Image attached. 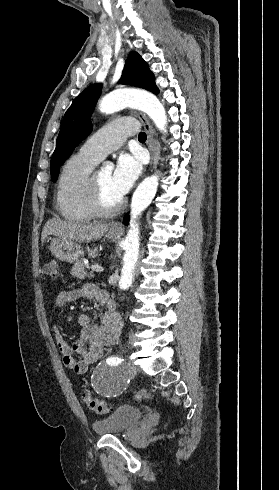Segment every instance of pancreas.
I'll return each mask as SVG.
<instances>
[{"label":"pancreas","mask_w":279,"mask_h":490,"mask_svg":"<svg viewBox=\"0 0 279 490\" xmlns=\"http://www.w3.org/2000/svg\"><path fill=\"white\" fill-rule=\"evenodd\" d=\"M71 276H73V278H78V280H84L85 276H87V278H93L91 274H88L83 262H76V264H74Z\"/></svg>","instance_id":"cf45deb5"}]
</instances>
